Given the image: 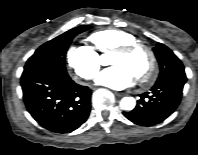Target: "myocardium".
<instances>
[{
	"mask_svg": "<svg viewBox=\"0 0 198 155\" xmlns=\"http://www.w3.org/2000/svg\"><path fill=\"white\" fill-rule=\"evenodd\" d=\"M137 49H143L146 51L149 57V67L147 71L138 76L136 80L140 85H148L153 81L157 72V57L154 50L149 45L141 41H133L118 46L114 49V53L128 54Z\"/></svg>",
	"mask_w": 198,
	"mask_h": 155,
	"instance_id": "1",
	"label": "myocardium"
}]
</instances>
